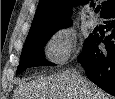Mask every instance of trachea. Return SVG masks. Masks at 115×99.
<instances>
[{"label": "trachea", "instance_id": "trachea-1", "mask_svg": "<svg viewBox=\"0 0 115 99\" xmlns=\"http://www.w3.org/2000/svg\"><path fill=\"white\" fill-rule=\"evenodd\" d=\"M99 10H100V7L96 8V9H95V12H98Z\"/></svg>", "mask_w": 115, "mask_h": 99}]
</instances>
